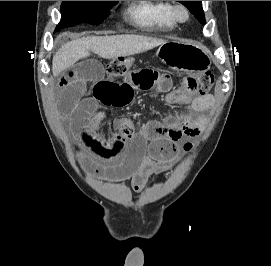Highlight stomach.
Wrapping results in <instances>:
<instances>
[{"instance_id": "obj_1", "label": "stomach", "mask_w": 271, "mask_h": 266, "mask_svg": "<svg viewBox=\"0 0 271 266\" xmlns=\"http://www.w3.org/2000/svg\"><path fill=\"white\" fill-rule=\"evenodd\" d=\"M156 56L175 71H206L211 59L200 44L187 40H174L162 44Z\"/></svg>"}]
</instances>
